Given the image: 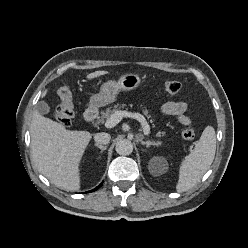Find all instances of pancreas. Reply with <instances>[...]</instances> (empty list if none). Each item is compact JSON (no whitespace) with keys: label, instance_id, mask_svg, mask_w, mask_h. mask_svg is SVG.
<instances>
[{"label":"pancreas","instance_id":"obj_1","mask_svg":"<svg viewBox=\"0 0 248 248\" xmlns=\"http://www.w3.org/2000/svg\"><path fill=\"white\" fill-rule=\"evenodd\" d=\"M118 108H120L119 107V104L114 105V107H108V108H106L105 111L101 112V116L98 117L97 123L98 124L103 123L105 121V119H108L115 111L118 110ZM144 115H146L147 118H151L148 110H144ZM151 122H152V120H151ZM161 135L162 136L165 135V132H159L157 134V136H161Z\"/></svg>","mask_w":248,"mask_h":248}]
</instances>
